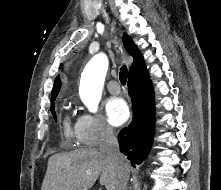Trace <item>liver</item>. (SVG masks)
Listing matches in <instances>:
<instances>
[{"instance_id": "6515ba94", "label": "liver", "mask_w": 221, "mask_h": 190, "mask_svg": "<svg viewBox=\"0 0 221 190\" xmlns=\"http://www.w3.org/2000/svg\"><path fill=\"white\" fill-rule=\"evenodd\" d=\"M100 174V184L116 190L118 172L105 154L94 148L58 153L48 160L41 190H88Z\"/></svg>"}]
</instances>
